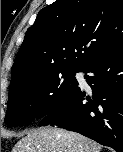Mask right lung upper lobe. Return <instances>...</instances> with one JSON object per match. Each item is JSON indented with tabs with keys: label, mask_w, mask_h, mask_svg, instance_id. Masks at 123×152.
Returning a JSON list of instances; mask_svg holds the SVG:
<instances>
[{
	"label": "right lung upper lobe",
	"mask_w": 123,
	"mask_h": 152,
	"mask_svg": "<svg viewBox=\"0 0 123 152\" xmlns=\"http://www.w3.org/2000/svg\"><path fill=\"white\" fill-rule=\"evenodd\" d=\"M123 41V0H56L43 8L17 53L10 89L59 69H84Z\"/></svg>",
	"instance_id": "1"
}]
</instances>
